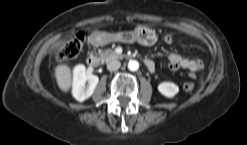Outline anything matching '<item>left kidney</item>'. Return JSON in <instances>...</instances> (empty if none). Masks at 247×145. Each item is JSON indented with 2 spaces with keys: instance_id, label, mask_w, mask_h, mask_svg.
Wrapping results in <instances>:
<instances>
[{
  "instance_id": "obj_1",
  "label": "left kidney",
  "mask_w": 247,
  "mask_h": 145,
  "mask_svg": "<svg viewBox=\"0 0 247 145\" xmlns=\"http://www.w3.org/2000/svg\"><path fill=\"white\" fill-rule=\"evenodd\" d=\"M158 91L167 98H173L179 92V87L172 82H163L158 85Z\"/></svg>"
}]
</instances>
